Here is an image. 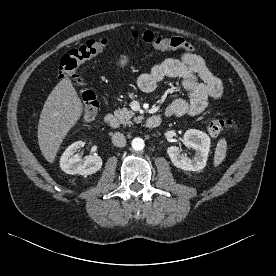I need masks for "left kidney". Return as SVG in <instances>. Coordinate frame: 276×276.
Instances as JSON below:
<instances>
[{
  "label": "left kidney",
  "instance_id": "obj_1",
  "mask_svg": "<svg viewBox=\"0 0 276 276\" xmlns=\"http://www.w3.org/2000/svg\"><path fill=\"white\" fill-rule=\"evenodd\" d=\"M183 143L186 147L196 151L194 157L188 158L181 154L177 146H170L167 153L174 166L185 171H200L206 166L210 150V137L196 129H189L185 132Z\"/></svg>",
  "mask_w": 276,
  "mask_h": 276
}]
</instances>
